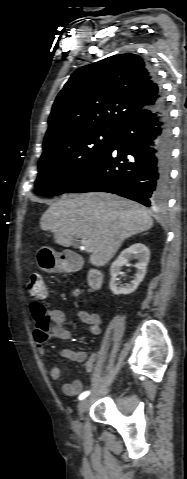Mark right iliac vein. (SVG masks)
<instances>
[{
  "instance_id": "1",
  "label": "right iliac vein",
  "mask_w": 187,
  "mask_h": 479,
  "mask_svg": "<svg viewBox=\"0 0 187 479\" xmlns=\"http://www.w3.org/2000/svg\"><path fill=\"white\" fill-rule=\"evenodd\" d=\"M90 404L89 399H84L78 404V418L74 421L73 428L76 431H79L81 429V423H80V417L85 413V411L88 409Z\"/></svg>"
}]
</instances>
